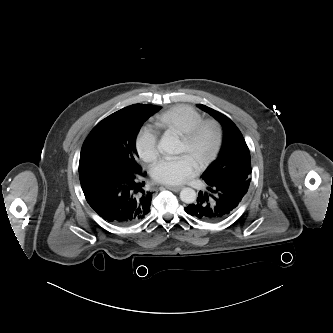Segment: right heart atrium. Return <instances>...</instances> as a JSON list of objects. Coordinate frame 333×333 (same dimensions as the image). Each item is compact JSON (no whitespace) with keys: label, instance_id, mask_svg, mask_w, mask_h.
<instances>
[{"label":"right heart atrium","instance_id":"obj_1","mask_svg":"<svg viewBox=\"0 0 333 333\" xmlns=\"http://www.w3.org/2000/svg\"><path fill=\"white\" fill-rule=\"evenodd\" d=\"M135 146L139 157L145 162H153L158 157V138L149 128L139 132Z\"/></svg>","mask_w":333,"mask_h":333}]
</instances>
